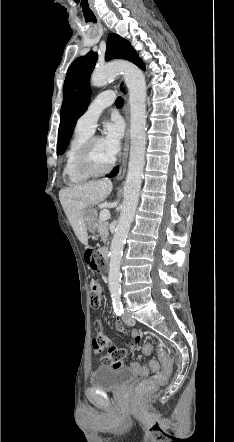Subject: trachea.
Segmentation results:
<instances>
[{
    "instance_id": "1",
    "label": "trachea",
    "mask_w": 234,
    "mask_h": 442,
    "mask_svg": "<svg viewBox=\"0 0 234 442\" xmlns=\"http://www.w3.org/2000/svg\"><path fill=\"white\" fill-rule=\"evenodd\" d=\"M115 104H116L117 107H121V106H123V104H124L123 98L119 96V97L116 99Z\"/></svg>"
}]
</instances>
